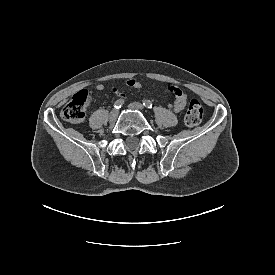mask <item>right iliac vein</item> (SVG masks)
<instances>
[{
	"instance_id": "1",
	"label": "right iliac vein",
	"mask_w": 275,
	"mask_h": 275,
	"mask_svg": "<svg viewBox=\"0 0 275 275\" xmlns=\"http://www.w3.org/2000/svg\"><path fill=\"white\" fill-rule=\"evenodd\" d=\"M117 116H118V111L114 109L109 114V120L113 122L117 119Z\"/></svg>"
}]
</instances>
